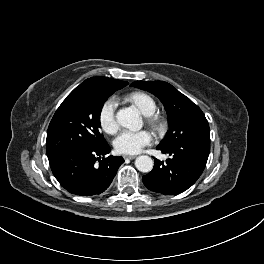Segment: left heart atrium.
Wrapping results in <instances>:
<instances>
[{
    "label": "left heart atrium",
    "instance_id": "left-heart-atrium-1",
    "mask_svg": "<svg viewBox=\"0 0 264 264\" xmlns=\"http://www.w3.org/2000/svg\"><path fill=\"white\" fill-rule=\"evenodd\" d=\"M153 142V135L147 130H124L114 140V147L122 154H136Z\"/></svg>",
    "mask_w": 264,
    "mask_h": 264
}]
</instances>
